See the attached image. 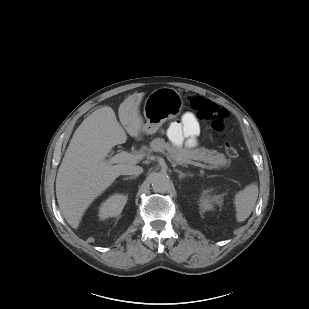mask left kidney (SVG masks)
<instances>
[{"label": "left kidney", "instance_id": "5707ae66", "mask_svg": "<svg viewBox=\"0 0 309 309\" xmlns=\"http://www.w3.org/2000/svg\"><path fill=\"white\" fill-rule=\"evenodd\" d=\"M222 198L220 196L210 197L208 195H202L199 199V206L202 211H209L213 209V204H222Z\"/></svg>", "mask_w": 309, "mask_h": 309}]
</instances>
